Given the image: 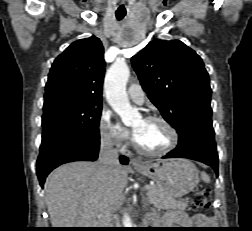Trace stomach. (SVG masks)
<instances>
[{
  "instance_id": "stomach-1",
  "label": "stomach",
  "mask_w": 252,
  "mask_h": 231,
  "mask_svg": "<svg viewBox=\"0 0 252 231\" xmlns=\"http://www.w3.org/2000/svg\"><path fill=\"white\" fill-rule=\"evenodd\" d=\"M137 172L156 182L165 199H177L191 192L198 184V171L186 159H168L158 163H145Z\"/></svg>"
}]
</instances>
